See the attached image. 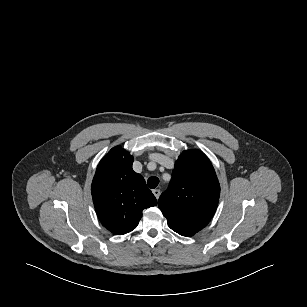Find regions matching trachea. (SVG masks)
<instances>
[{
    "instance_id": "3493384b",
    "label": "trachea",
    "mask_w": 307,
    "mask_h": 307,
    "mask_svg": "<svg viewBox=\"0 0 307 307\" xmlns=\"http://www.w3.org/2000/svg\"><path fill=\"white\" fill-rule=\"evenodd\" d=\"M147 184L149 186V188L151 189H154L158 186L159 184V179L157 177H150L148 180H147Z\"/></svg>"
}]
</instances>
